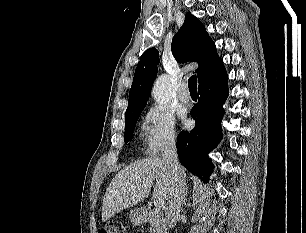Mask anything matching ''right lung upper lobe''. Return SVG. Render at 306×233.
<instances>
[{"instance_id": "obj_1", "label": "right lung upper lobe", "mask_w": 306, "mask_h": 233, "mask_svg": "<svg viewBox=\"0 0 306 233\" xmlns=\"http://www.w3.org/2000/svg\"><path fill=\"white\" fill-rule=\"evenodd\" d=\"M171 50L179 63L189 60L198 63L196 73L199 82L224 66L204 25L190 12L186 14L184 24L175 34ZM158 64L159 52L156 48H150L143 53L135 70L125 117L146 106Z\"/></svg>"}]
</instances>
